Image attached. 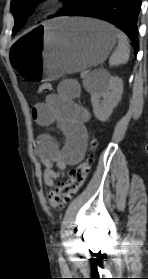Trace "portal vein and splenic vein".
Listing matches in <instances>:
<instances>
[{
	"label": "portal vein and splenic vein",
	"mask_w": 148,
	"mask_h": 279,
	"mask_svg": "<svg viewBox=\"0 0 148 279\" xmlns=\"http://www.w3.org/2000/svg\"><path fill=\"white\" fill-rule=\"evenodd\" d=\"M87 73H88V71L83 72L84 75L87 74Z\"/></svg>",
	"instance_id": "18ae733b"
}]
</instances>
